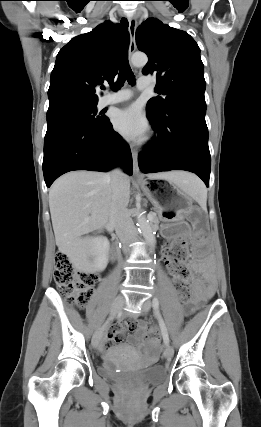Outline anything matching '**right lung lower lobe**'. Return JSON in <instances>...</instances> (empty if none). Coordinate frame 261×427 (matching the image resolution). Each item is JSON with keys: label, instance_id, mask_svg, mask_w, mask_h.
Masks as SVG:
<instances>
[{"label": "right lung lower lobe", "instance_id": "right-lung-lower-lobe-1", "mask_svg": "<svg viewBox=\"0 0 261 427\" xmlns=\"http://www.w3.org/2000/svg\"><path fill=\"white\" fill-rule=\"evenodd\" d=\"M118 164L126 173L132 174L130 149L113 130L109 120L100 124L78 120H61L48 124L43 159L47 187L69 171H108Z\"/></svg>", "mask_w": 261, "mask_h": 427}]
</instances>
